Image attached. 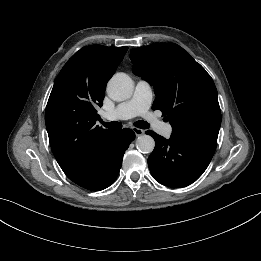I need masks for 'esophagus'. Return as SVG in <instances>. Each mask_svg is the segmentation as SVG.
<instances>
[{
  "instance_id": "esophagus-1",
  "label": "esophagus",
  "mask_w": 261,
  "mask_h": 261,
  "mask_svg": "<svg viewBox=\"0 0 261 261\" xmlns=\"http://www.w3.org/2000/svg\"><path fill=\"white\" fill-rule=\"evenodd\" d=\"M133 131H134L136 136H141L145 132L143 129H140V128H133Z\"/></svg>"
}]
</instances>
